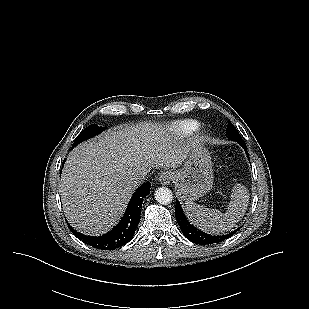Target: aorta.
I'll list each match as a JSON object with an SVG mask.
<instances>
[{
	"instance_id": "aorta-1",
	"label": "aorta",
	"mask_w": 309,
	"mask_h": 309,
	"mask_svg": "<svg viewBox=\"0 0 309 309\" xmlns=\"http://www.w3.org/2000/svg\"><path fill=\"white\" fill-rule=\"evenodd\" d=\"M155 199L158 203L167 205L173 200L172 191L166 187L157 188L155 191Z\"/></svg>"
}]
</instances>
